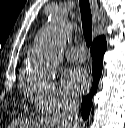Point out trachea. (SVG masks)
<instances>
[{
    "instance_id": "3493384b",
    "label": "trachea",
    "mask_w": 125,
    "mask_h": 128,
    "mask_svg": "<svg viewBox=\"0 0 125 128\" xmlns=\"http://www.w3.org/2000/svg\"><path fill=\"white\" fill-rule=\"evenodd\" d=\"M83 34L88 47L92 43V15L89 0H79Z\"/></svg>"
}]
</instances>
